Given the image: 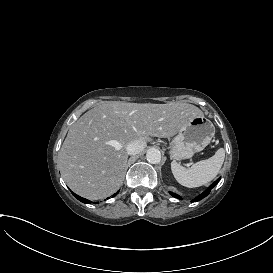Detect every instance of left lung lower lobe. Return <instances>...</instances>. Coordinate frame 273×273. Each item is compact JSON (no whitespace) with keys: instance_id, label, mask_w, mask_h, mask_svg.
<instances>
[{"instance_id":"1","label":"left lung lower lobe","mask_w":273,"mask_h":273,"mask_svg":"<svg viewBox=\"0 0 273 273\" xmlns=\"http://www.w3.org/2000/svg\"><path fill=\"white\" fill-rule=\"evenodd\" d=\"M219 180H220V178L217 179L205 192H203L201 195H199L197 198H195L193 200V202L199 201V200L203 199L204 197H206L210 193L211 189L216 186V184L219 182ZM170 194L175 198L181 199V197L178 196L177 194H174V193H170Z\"/></svg>"}]
</instances>
